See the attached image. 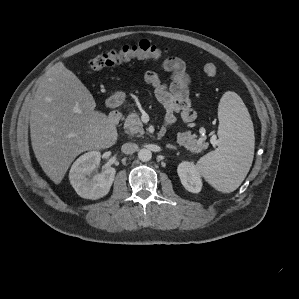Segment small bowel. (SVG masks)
I'll return each instance as SVG.
<instances>
[{"mask_svg": "<svg viewBox=\"0 0 299 299\" xmlns=\"http://www.w3.org/2000/svg\"><path fill=\"white\" fill-rule=\"evenodd\" d=\"M159 69L170 73L169 83L162 82L155 71H147L144 80L154 87L157 101L166 110V125L174 123L176 114H179L184 122L194 121L196 114L189 100L191 80L185 61L172 56L164 60Z\"/></svg>", "mask_w": 299, "mask_h": 299, "instance_id": "obj_1", "label": "small bowel"}]
</instances>
